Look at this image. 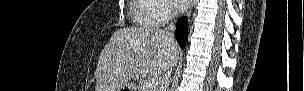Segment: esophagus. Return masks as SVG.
<instances>
[{
	"mask_svg": "<svg viewBox=\"0 0 304 91\" xmlns=\"http://www.w3.org/2000/svg\"><path fill=\"white\" fill-rule=\"evenodd\" d=\"M195 3H196V1H194V2L192 3V5H191V7H190V9H189V11H188V13H187V16H188V17L191 16V13H192V11H193V7H194Z\"/></svg>",
	"mask_w": 304,
	"mask_h": 91,
	"instance_id": "esophagus-1",
	"label": "esophagus"
}]
</instances>
